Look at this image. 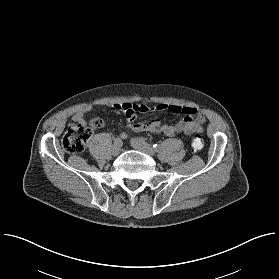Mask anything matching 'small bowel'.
<instances>
[{
    "label": "small bowel",
    "instance_id": "obj_1",
    "mask_svg": "<svg viewBox=\"0 0 279 279\" xmlns=\"http://www.w3.org/2000/svg\"><path fill=\"white\" fill-rule=\"evenodd\" d=\"M141 114L149 111V107L145 104H139ZM116 110L124 113L129 121V127L134 132H153L157 134H163L168 137L175 136L176 134L183 133L186 136H190L194 133L203 132V124L205 123V115L196 109L189 107H180L177 105H169L165 103H157L156 109L158 111H167L174 114H182L181 120L174 125H162L158 122H139L137 121V115L130 111V105L128 103H116L113 106ZM89 106L82 107L79 111L73 115L72 121H83L86 113L90 111ZM100 119V118H98ZM104 121L100 119V124L96 128H102ZM126 133L121 134V138H127Z\"/></svg>",
    "mask_w": 279,
    "mask_h": 279
}]
</instances>
